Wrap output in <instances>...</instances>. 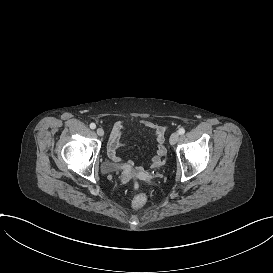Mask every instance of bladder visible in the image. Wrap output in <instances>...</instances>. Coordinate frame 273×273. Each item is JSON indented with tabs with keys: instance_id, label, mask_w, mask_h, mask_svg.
Returning a JSON list of instances; mask_svg holds the SVG:
<instances>
[{
	"instance_id": "bladder-1",
	"label": "bladder",
	"mask_w": 273,
	"mask_h": 273,
	"mask_svg": "<svg viewBox=\"0 0 273 273\" xmlns=\"http://www.w3.org/2000/svg\"><path fill=\"white\" fill-rule=\"evenodd\" d=\"M120 169V165L118 162H115L113 160H106L102 164V171L105 174H111Z\"/></svg>"
}]
</instances>
